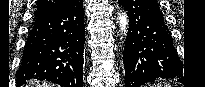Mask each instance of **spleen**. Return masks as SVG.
<instances>
[{
	"label": "spleen",
	"instance_id": "obj_1",
	"mask_svg": "<svg viewBox=\"0 0 205 87\" xmlns=\"http://www.w3.org/2000/svg\"><path fill=\"white\" fill-rule=\"evenodd\" d=\"M151 87H170V86L168 84L158 83V84H153Z\"/></svg>",
	"mask_w": 205,
	"mask_h": 87
}]
</instances>
